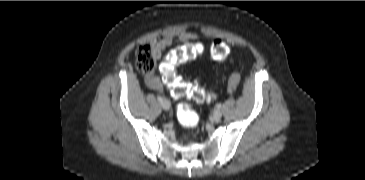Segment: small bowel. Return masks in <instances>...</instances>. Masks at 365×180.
Masks as SVG:
<instances>
[{
  "label": "small bowel",
  "instance_id": "1",
  "mask_svg": "<svg viewBox=\"0 0 365 180\" xmlns=\"http://www.w3.org/2000/svg\"><path fill=\"white\" fill-rule=\"evenodd\" d=\"M192 38H194V35L192 33L187 32V31H182L177 36V42L183 43ZM174 43H175V40L172 37H166L157 42H154L152 44V46H153V50L155 52V56L157 58H160L162 56V54L166 51V49L173 46ZM146 83L152 89L161 90L163 88L162 80L158 76H155V75H150V76L146 77Z\"/></svg>",
  "mask_w": 365,
  "mask_h": 180
}]
</instances>
